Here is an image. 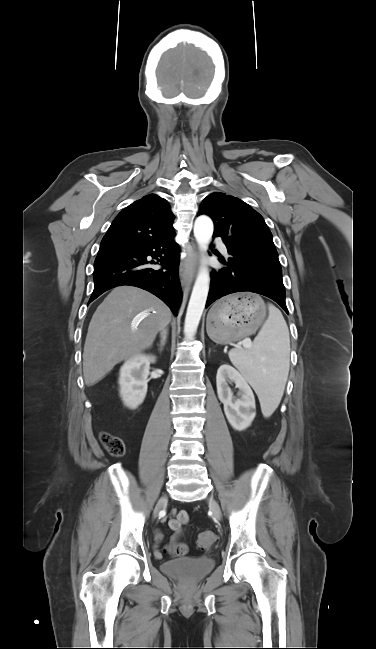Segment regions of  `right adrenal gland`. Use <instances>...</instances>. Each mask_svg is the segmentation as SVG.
Here are the masks:
<instances>
[{
	"label": "right adrenal gland",
	"mask_w": 376,
	"mask_h": 649,
	"mask_svg": "<svg viewBox=\"0 0 376 649\" xmlns=\"http://www.w3.org/2000/svg\"><path fill=\"white\" fill-rule=\"evenodd\" d=\"M165 343H166V339L163 338L162 341H161V343L158 345L160 353L163 351V348H164V346H165Z\"/></svg>",
	"instance_id": "2a0ac1e0"
}]
</instances>
